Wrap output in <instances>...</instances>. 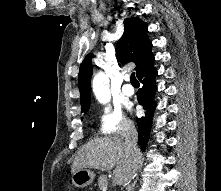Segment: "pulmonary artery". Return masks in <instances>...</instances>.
Returning a JSON list of instances; mask_svg holds the SVG:
<instances>
[{"mask_svg":"<svg viewBox=\"0 0 221 191\" xmlns=\"http://www.w3.org/2000/svg\"><path fill=\"white\" fill-rule=\"evenodd\" d=\"M122 92L126 96H132L134 94V88L130 84H125L122 87Z\"/></svg>","mask_w":221,"mask_h":191,"instance_id":"pulmonary-artery-1","label":"pulmonary artery"}]
</instances>
